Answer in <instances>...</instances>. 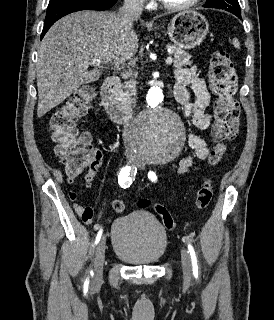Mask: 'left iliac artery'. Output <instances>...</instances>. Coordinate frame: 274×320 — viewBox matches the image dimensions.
<instances>
[{"label":"left iliac artery","mask_w":274,"mask_h":320,"mask_svg":"<svg viewBox=\"0 0 274 320\" xmlns=\"http://www.w3.org/2000/svg\"><path fill=\"white\" fill-rule=\"evenodd\" d=\"M148 178L153 182L157 181V176L153 171H150L148 173ZM188 250H189L190 256H191V261H192V266H193V275L197 278L198 277V261H197V257H196L194 248L190 243H188Z\"/></svg>","instance_id":"1"}]
</instances>
